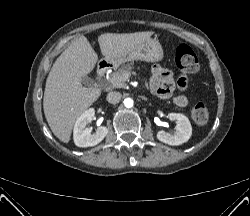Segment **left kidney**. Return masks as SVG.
<instances>
[{"mask_svg": "<svg viewBox=\"0 0 250 216\" xmlns=\"http://www.w3.org/2000/svg\"><path fill=\"white\" fill-rule=\"evenodd\" d=\"M169 119L176 121L177 126L172 134L159 131L157 138L159 141L168 145H181L187 142L192 135V126L189 119L181 113H170Z\"/></svg>", "mask_w": 250, "mask_h": 216, "instance_id": "1", "label": "left kidney"}]
</instances>
